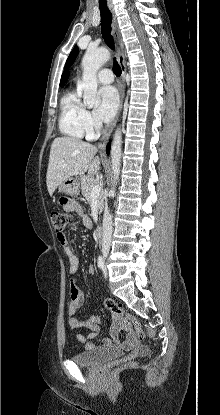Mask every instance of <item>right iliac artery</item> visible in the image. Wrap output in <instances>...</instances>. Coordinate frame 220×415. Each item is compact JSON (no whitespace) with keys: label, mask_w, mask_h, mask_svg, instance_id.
<instances>
[{"label":"right iliac artery","mask_w":220,"mask_h":415,"mask_svg":"<svg viewBox=\"0 0 220 415\" xmlns=\"http://www.w3.org/2000/svg\"><path fill=\"white\" fill-rule=\"evenodd\" d=\"M98 267L100 269H104V260H103L102 256H99V258H98Z\"/></svg>","instance_id":"right-iliac-artery-1"}]
</instances>
